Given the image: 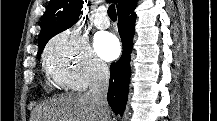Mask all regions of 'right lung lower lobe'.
Returning a JSON list of instances; mask_svg holds the SVG:
<instances>
[{
  "label": "right lung lower lobe",
  "instance_id": "obj_1",
  "mask_svg": "<svg viewBox=\"0 0 217 121\" xmlns=\"http://www.w3.org/2000/svg\"><path fill=\"white\" fill-rule=\"evenodd\" d=\"M137 0H124L117 8L118 30L122 38L123 54L121 58L110 67V82L108 90V103L116 114L122 115L125 109L130 78V54L134 36L136 15L134 9Z\"/></svg>",
  "mask_w": 217,
  "mask_h": 121
}]
</instances>
